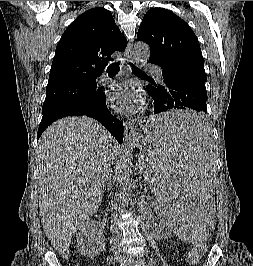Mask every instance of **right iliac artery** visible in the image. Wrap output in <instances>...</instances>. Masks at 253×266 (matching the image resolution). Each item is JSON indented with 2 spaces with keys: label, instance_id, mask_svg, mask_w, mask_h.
Returning <instances> with one entry per match:
<instances>
[{
  "label": "right iliac artery",
  "instance_id": "1",
  "mask_svg": "<svg viewBox=\"0 0 253 266\" xmlns=\"http://www.w3.org/2000/svg\"><path fill=\"white\" fill-rule=\"evenodd\" d=\"M120 266H127V261L126 260H124L122 263H121V265Z\"/></svg>",
  "mask_w": 253,
  "mask_h": 266
}]
</instances>
